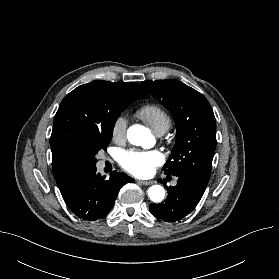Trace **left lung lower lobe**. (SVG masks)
<instances>
[{"label": "left lung lower lobe", "mask_w": 279, "mask_h": 279, "mask_svg": "<svg viewBox=\"0 0 279 279\" xmlns=\"http://www.w3.org/2000/svg\"><path fill=\"white\" fill-rule=\"evenodd\" d=\"M177 185L167 187L164 203L149 206L150 212L166 222H175L188 215L198 204L207 185L190 177H178ZM166 183L165 180H159Z\"/></svg>", "instance_id": "0a47b994"}]
</instances>
